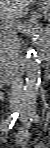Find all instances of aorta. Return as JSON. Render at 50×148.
Masks as SVG:
<instances>
[{
    "mask_svg": "<svg viewBox=\"0 0 50 148\" xmlns=\"http://www.w3.org/2000/svg\"><path fill=\"white\" fill-rule=\"evenodd\" d=\"M27 77L22 96L23 104H31L36 101L41 82L40 62L33 48H29L26 54Z\"/></svg>",
    "mask_w": 50,
    "mask_h": 148,
    "instance_id": "obj_1",
    "label": "aorta"
}]
</instances>
